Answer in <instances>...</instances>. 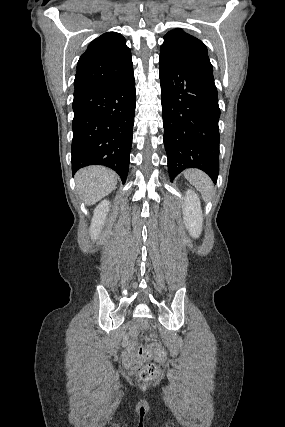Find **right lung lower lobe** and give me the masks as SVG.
I'll list each match as a JSON object with an SVG mask.
<instances>
[{
    "label": "right lung lower lobe",
    "mask_w": 285,
    "mask_h": 427,
    "mask_svg": "<svg viewBox=\"0 0 285 427\" xmlns=\"http://www.w3.org/2000/svg\"><path fill=\"white\" fill-rule=\"evenodd\" d=\"M136 107L135 79L74 94L72 172L89 165L112 168L126 181Z\"/></svg>",
    "instance_id": "98d812e1"
}]
</instances>
